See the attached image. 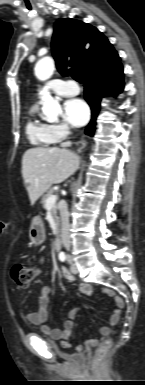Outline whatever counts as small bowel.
I'll return each mask as SVG.
<instances>
[{
  "label": "small bowel",
  "instance_id": "small-bowel-1",
  "mask_svg": "<svg viewBox=\"0 0 145 385\" xmlns=\"http://www.w3.org/2000/svg\"><path fill=\"white\" fill-rule=\"evenodd\" d=\"M39 263H44V258L41 257L39 259ZM41 274V269L37 268L35 270V276H39ZM61 274L62 276L69 282L75 281L74 275L67 270L65 267L61 268ZM78 292L83 296H90L92 294V286L87 283L80 284L77 288ZM103 292L111 297L113 299L114 304L116 305L117 309H115L110 317H109V326H103L100 329L101 338H105L110 334V326H114L118 323L120 316H121V308L124 305V302L122 298L116 294L115 290L110 288H104ZM50 293L51 289L48 286H44L42 288L41 296L39 298L38 302V309L33 312H28L26 314V318L29 323L33 325L40 326V330L43 334L61 341V345L64 348L71 347L70 343L67 341L70 337L74 327H75V317L77 314L81 311V308L73 309L69 312L68 318L64 322L63 329H53L47 326L46 320L48 318V307L50 303ZM98 344V340L96 339H89L85 341L84 345H75L73 346L74 350L78 353H82L88 348H91Z\"/></svg>",
  "mask_w": 145,
  "mask_h": 385
}]
</instances>
